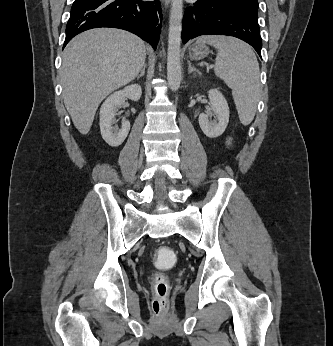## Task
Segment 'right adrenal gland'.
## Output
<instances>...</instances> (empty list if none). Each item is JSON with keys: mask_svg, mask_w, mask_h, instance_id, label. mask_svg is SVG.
Listing matches in <instances>:
<instances>
[{"mask_svg": "<svg viewBox=\"0 0 333 346\" xmlns=\"http://www.w3.org/2000/svg\"><path fill=\"white\" fill-rule=\"evenodd\" d=\"M145 69H146V64L144 63L142 69H141V72L139 75H137V79H139L140 77L144 76L145 74Z\"/></svg>", "mask_w": 333, "mask_h": 346, "instance_id": "1", "label": "right adrenal gland"}]
</instances>
